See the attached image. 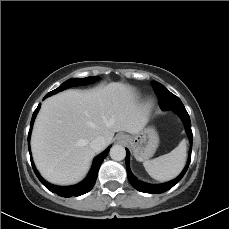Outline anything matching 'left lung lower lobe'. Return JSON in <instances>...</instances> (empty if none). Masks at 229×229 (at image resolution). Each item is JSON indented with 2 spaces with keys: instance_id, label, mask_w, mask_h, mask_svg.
<instances>
[{
  "instance_id": "1",
  "label": "left lung lower lobe",
  "mask_w": 229,
  "mask_h": 229,
  "mask_svg": "<svg viewBox=\"0 0 229 229\" xmlns=\"http://www.w3.org/2000/svg\"><path fill=\"white\" fill-rule=\"evenodd\" d=\"M173 111H175L180 116L182 121L184 122L186 132L189 136V140L191 143L190 151H189L188 164L185 166L182 173L177 178H175L174 180L169 181L167 183L159 184V185H151V184H147V183H144L142 181L137 180L134 177V175L131 173L130 168H129V156H130V154H129V151L126 149V169H127L128 179H129V182L131 183V185L135 189H137L138 191H141L144 193H152V194H158V193L166 192L182 179V177L184 176V174L186 173V171L189 167V163L191 160L192 141H193L190 117H189L184 106L173 109Z\"/></svg>"
}]
</instances>
